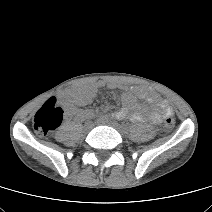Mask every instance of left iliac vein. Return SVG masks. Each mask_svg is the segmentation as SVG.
<instances>
[{
    "label": "left iliac vein",
    "instance_id": "4c4485c4",
    "mask_svg": "<svg viewBox=\"0 0 212 212\" xmlns=\"http://www.w3.org/2000/svg\"><path fill=\"white\" fill-rule=\"evenodd\" d=\"M100 124H103V125H108V126H111L113 128H115L117 131H119L120 133L124 132V130L122 129V127L115 121H101L99 122Z\"/></svg>",
    "mask_w": 212,
    "mask_h": 212
}]
</instances>
